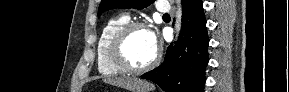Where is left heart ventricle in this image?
<instances>
[{
    "label": "left heart ventricle",
    "mask_w": 289,
    "mask_h": 92,
    "mask_svg": "<svg viewBox=\"0 0 289 92\" xmlns=\"http://www.w3.org/2000/svg\"><path fill=\"white\" fill-rule=\"evenodd\" d=\"M156 53L148 29H137L131 33L125 45V55L134 66H143L149 63Z\"/></svg>",
    "instance_id": "1"
}]
</instances>
